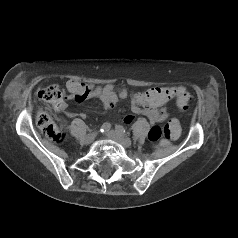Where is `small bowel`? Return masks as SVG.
<instances>
[{
	"label": "small bowel",
	"mask_w": 238,
	"mask_h": 238,
	"mask_svg": "<svg viewBox=\"0 0 238 238\" xmlns=\"http://www.w3.org/2000/svg\"><path fill=\"white\" fill-rule=\"evenodd\" d=\"M67 89L70 93V98L76 102H83L88 98H99L105 110L114 107L118 99L130 97V106L134 114H143L150 120L151 124L163 122L167 119L168 113L164 107L166 102L173 97V87H156L139 93L128 91L125 88L116 89L114 85H106L101 87L99 85H86L76 80H69L67 82ZM166 92H170L171 96H167ZM56 111H62L69 117H75L76 114L67 111V104L62 103L55 108ZM84 117V114L80 115ZM125 123H131L134 120L132 114H128L123 118Z\"/></svg>",
	"instance_id": "obj_1"
}]
</instances>
